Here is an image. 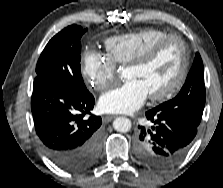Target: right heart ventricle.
I'll use <instances>...</instances> for the list:
<instances>
[{
    "mask_svg": "<svg viewBox=\"0 0 223 188\" xmlns=\"http://www.w3.org/2000/svg\"><path fill=\"white\" fill-rule=\"evenodd\" d=\"M166 35L168 33L161 29L144 28L108 38L105 41V48L116 65L125 66L148 45Z\"/></svg>",
    "mask_w": 223,
    "mask_h": 188,
    "instance_id": "e07e8e85",
    "label": "right heart ventricle"
}]
</instances>
